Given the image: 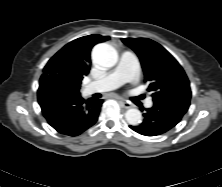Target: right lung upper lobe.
<instances>
[{
    "mask_svg": "<svg viewBox=\"0 0 222 187\" xmlns=\"http://www.w3.org/2000/svg\"><path fill=\"white\" fill-rule=\"evenodd\" d=\"M108 39L107 36L89 35L71 41L48 61L41 78L56 75L80 88L83 77L90 71L92 47Z\"/></svg>",
    "mask_w": 222,
    "mask_h": 187,
    "instance_id": "cb5924a9",
    "label": "right lung upper lobe"
}]
</instances>
